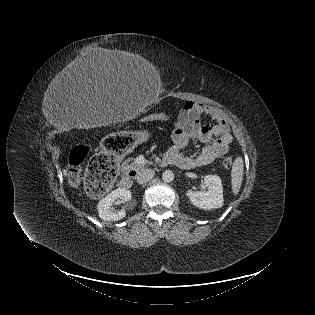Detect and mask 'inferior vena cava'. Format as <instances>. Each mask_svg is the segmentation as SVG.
Instances as JSON below:
<instances>
[{
  "instance_id": "602c4592",
  "label": "inferior vena cava",
  "mask_w": 315,
  "mask_h": 315,
  "mask_svg": "<svg viewBox=\"0 0 315 315\" xmlns=\"http://www.w3.org/2000/svg\"><path fill=\"white\" fill-rule=\"evenodd\" d=\"M155 175V171L152 169H143L137 175V182L143 184L152 179Z\"/></svg>"
}]
</instances>
